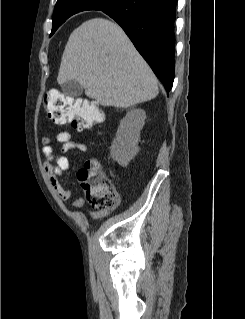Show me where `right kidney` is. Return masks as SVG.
I'll list each match as a JSON object with an SVG mask.
<instances>
[{
    "label": "right kidney",
    "instance_id": "right-kidney-1",
    "mask_svg": "<svg viewBox=\"0 0 245 319\" xmlns=\"http://www.w3.org/2000/svg\"><path fill=\"white\" fill-rule=\"evenodd\" d=\"M146 119L142 109L129 111L121 120L116 138L111 145V156L119 165L126 167L139 151L140 131Z\"/></svg>",
    "mask_w": 245,
    "mask_h": 319
}]
</instances>
